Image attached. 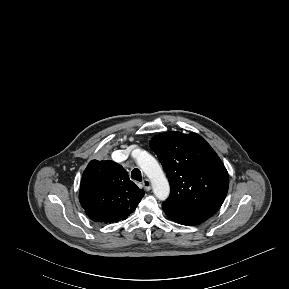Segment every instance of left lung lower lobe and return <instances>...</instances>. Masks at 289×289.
I'll list each match as a JSON object with an SVG mask.
<instances>
[{"label": "left lung lower lobe", "mask_w": 289, "mask_h": 289, "mask_svg": "<svg viewBox=\"0 0 289 289\" xmlns=\"http://www.w3.org/2000/svg\"><path fill=\"white\" fill-rule=\"evenodd\" d=\"M162 207L169 218L182 225L194 226L206 221L210 217L206 214L169 205L165 202L162 204Z\"/></svg>", "instance_id": "obj_1"}]
</instances>
